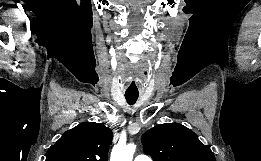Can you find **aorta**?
<instances>
[{
    "mask_svg": "<svg viewBox=\"0 0 261 161\" xmlns=\"http://www.w3.org/2000/svg\"><path fill=\"white\" fill-rule=\"evenodd\" d=\"M136 145L118 143L112 150L110 161H132Z\"/></svg>",
    "mask_w": 261,
    "mask_h": 161,
    "instance_id": "aorta-1",
    "label": "aorta"
}]
</instances>
